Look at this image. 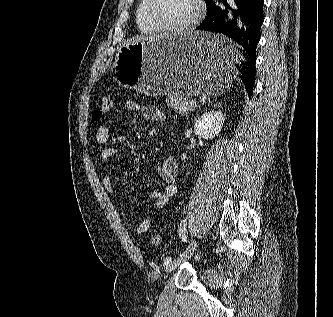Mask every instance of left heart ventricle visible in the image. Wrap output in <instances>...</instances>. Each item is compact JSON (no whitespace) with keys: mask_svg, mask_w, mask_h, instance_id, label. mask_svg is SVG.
<instances>
[{"mask_svg":"<svg viewBox=\"0 0 333 317\" xmlns=\"http://www.w3.org/2000/svg\"><path fill=\"white\" fill-rule=\"evenodd\" d=\"M194 0H154L155 16L165 24L181 26L190 21L194 14Z\"/></svg>","mask_w":333,"mask_h":317,"instance_id":"obj_1","label":"left heart ventricle"}]
</instances>
